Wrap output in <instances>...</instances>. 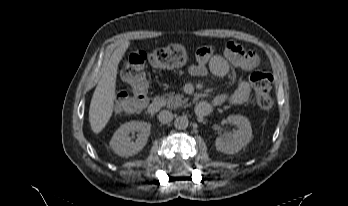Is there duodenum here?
I'll return each instance as SVG.
<instances>
[{
  "mask_svg": "<svg viewBox=\"0 0 348 206\" xmlns=\"http://www.w3.org/2000/svg\"><path fill=\"white\" fill-rule=\"evenodd\" d=\"M163 106V101L161 99L154 100L148 107V113L150 115H155ZM212 106L209 103L202 102L198 104L196 108V113L199 116H207L211 113Z\"/></svg>",
  "mask_w": 348,
  "mask_h": 206,
  "instance_id": "1",
  "label": "duodenum"
}]
</instances>
